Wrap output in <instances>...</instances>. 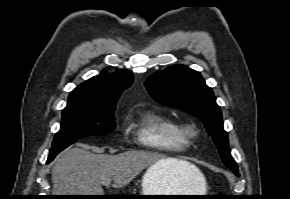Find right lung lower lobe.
I'll return each instance as SVG.
<instances>
[{
	"mask_svg": "<svg viewBox=\"0 0 290 199\" xmlns=\"http://www.w3.org/2000/svg\"><path fill=\"white\" fill-rule=\"evenodd\" d=\"M55 157H48L47 163H50Z\"/></svg>",
	"mask_w": 290,
	"mask_h": 199,
	"instance_id": "obj_1",
	"label": "right lung lower lobe"
}]
</instances>
